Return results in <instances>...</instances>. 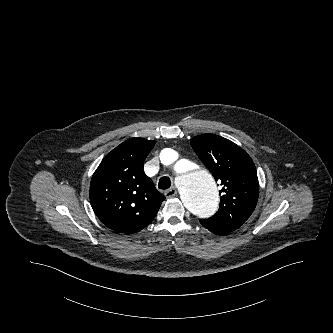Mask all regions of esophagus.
<instances>
[{"label":"esophagus","mask_w":333,"mask_h":333,"mask_svg":"<svg viewBox=\"0 0 333 333\" xmlns=\"http://www.w3.org/2000/svg\"><path fill=\"white\" fill-rule=\"evenodd\" d=\"M177 195V189L172 187L165 192L166 198H173Z\"/></svg>","instance_id":"1"}]
</instances>
